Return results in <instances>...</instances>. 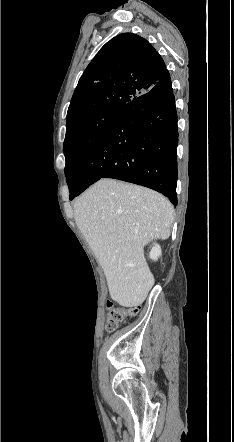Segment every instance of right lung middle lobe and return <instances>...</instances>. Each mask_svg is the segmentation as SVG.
Masks as SVG:
<instances>
[{
  "instance_id": "right-lung-middle-lobe-1",
  "label": "right lung middle lobe",
  "mask_w": 234,
  "mask_h": 442,
  "mask_svg": "<svg viewBox=\"0 0 234 442\" xmlns=\"http://www.w3.org/2000/svg\"><path fill=\"white\" fill-rule=\"evenodd\" d=\"M120 108L102 109L84 115L66 125L64 154L65 175L70 185V173L82 157L100 140Z\"/></svg>"
}]
</instances>
